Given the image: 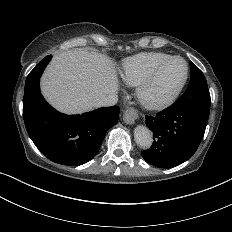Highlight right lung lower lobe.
Returning a JSON list of instances; mask_svg holds the SVG:
<instances>
[{"instance_id":"1","label":"right lung lower lobe","mask_w":232,"mask_h":232,"mask_svg":"<svg viewBox=\"0 0 232 232\" xmlns=\"http://www.w3.org/2000/svg\"><path fill=\"white\" fill-rule=\"evenodd\" d=\"M52 56H46L25 82L23 118L27 132L51 161L68 166L82 165L99 151L107 131L118 122V106L103 107L82 115L56 111L43 98L39 79Z\"/></svg>"}]
</instances>
